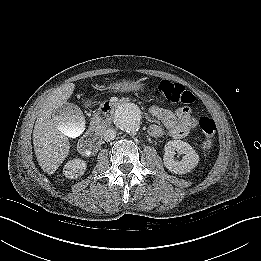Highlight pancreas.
<instances>
[{
    "mask_svg": "<svg viewBox=\"0 0 261 261\" xmlns=\"http://www.w3.org/2000/svg\"><path fill=\"white\" fill-rule=\"evenodd\" d=\"M104 129H105V125L101 124V125L98 126V130L103 131Z\"/></svg>",
    "mask_w": 261,
    "mask_h": 261,
    "instance_id": "obj_1",
    "label": "pancreas"
}]
</instances>
